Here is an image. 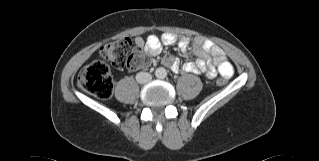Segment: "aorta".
<instances>
[{"label":"aorta","instance_id":"1","mask_svg":"<svg viewBox=\"0 0 319 161\" xmlns=\"http://www.w3.org/2000/svg\"><path fill=\"white\" fill-rule=\"evenodd\" d=\"M166 75H167V71H166V69L163 68V67H159V68H157L156 71H155V76H156L157 78L163 79V78L166 77Z\"/></svg>","mask_w":319,"mask_h":161}]
</instances>
